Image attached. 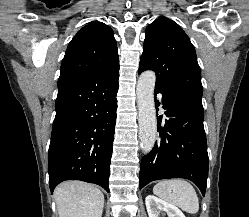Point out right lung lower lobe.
<instances>
[{"mask_svg": "<svg viewBox=\"0 0 249 217\" xmlns=\"http://www.w3.org/2000/svg\"><path fill=\"white\" fill-rule=\"evenodd\" d=\"M118 71L119 64L95 75L59 77L48 153L51 193L60 182L72 179L109 192Z\"/></svg>", "mask_w": 249, "mask_h": 217, "instance_id": "98d812e1", "label": "right lung lower lobe"}]
</instances>
